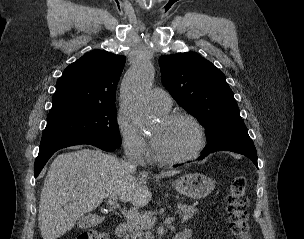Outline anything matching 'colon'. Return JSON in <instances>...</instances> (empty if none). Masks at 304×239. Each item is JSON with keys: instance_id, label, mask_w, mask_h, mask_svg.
I'll return each mask as SVG.
<instances>
[{"instance_id": "obj_1", "label": "colon", "mask_w": 304, "mask_h": 239, "mask_svg": "<svg viewBox=\"0 0 304 239\" xmlns=\"http://www.w3.org/2000/svg\"><path fill=\"white\" fill-rule=\"evenodd\" d=\"M248 196L246 179L236 176L232 179L227 194V213L230 230L237 239H251L248 225ZM77 239H110L108 234L90 230L80 234Z\"/></svg>"}]
</instances>
